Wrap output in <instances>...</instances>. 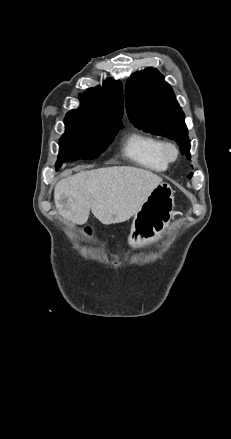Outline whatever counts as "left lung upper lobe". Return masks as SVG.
Instances as JSON below:
<instances>
[{
  "mask_svg": "<svg viewBox=\"0 0 231 439\" xmlns=\"http://www.w3.org/2000/svg\"><path fill=\"white\" fill-rule=\"evenodd\" d=\"M125 96L128 117L136 127L176 141L181 153L191 158L184 113L163 75L154 68L131 75Z\"/></svg>",
  "mask_w": 231,
  "mask_h": 439,
  "instance_id": "1",
  "label": "left lung upper lobe"
}]
</instances>
